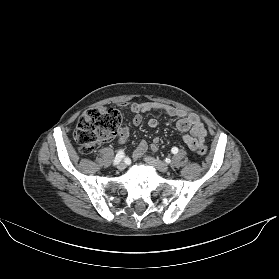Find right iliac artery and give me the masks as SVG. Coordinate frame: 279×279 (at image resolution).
Returning a JSON list of instances; mask_svg holds the SVG:
<instances>
[{
    "label": "right iliac artery",
    "mask_w": 279,
    "mask_h": 279,
    "mask_svg": "<svg viewBox=\"0 0 279 279\" xmlns=\"http://www.w3.org/2000/svg\"><path fill=\"white\" fill-rule=\"evenodd\" d=\"M123 157H124L123 150H119V152L117 153V155H116V157H115V159L113 161V164L114 165L118 164L123 159Z\"/></svg>",
    "instance_id": "1"
}]
</instances>
